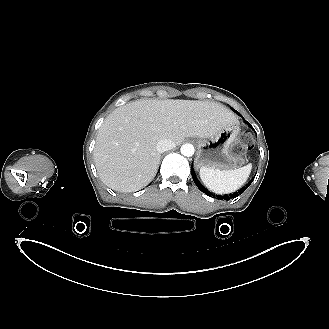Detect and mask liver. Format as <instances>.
<instances>
[{
    "instance_id": "6515ba94",
    "label": "liver",
    "mask_w": 329,
    "mask_h": 329,
    "mask_svg": "<svg viewBox=\"0 0 329 329\" xmlns=\"http://www.w3.org/2000/svg\"><path fill=\"white\" fill-rule=\"evenodd\" d=\"M237 122L232 111L214 101L138 100L110 113L101 125L94 149L100 179L120 192L138 191L157 173V143L185 137L211 138Z\"/></svg>"
}]
</instances>
